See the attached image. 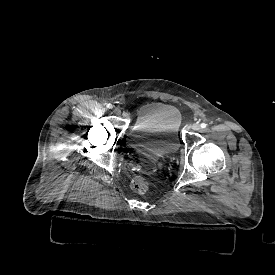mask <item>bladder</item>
I'll return each mask as SVG.
<instances>
[{"instance_id":"bladder-1","label":"bladder","mask_w":275,"mask_h":275,"mask_svg":"<svg viewBox=\"0 0 275 275\" xmlns=\"http://www.w3.org/2000/svg\"><path fill=\"white\" fill-rule=\"evenodd\" d=\"M180 126V111L172 105L153 102L136 109L130 140L138 153L135 165L139 171L150 173L156 169L159 160L179 153Z\"/></svg>"}]
</instances>
